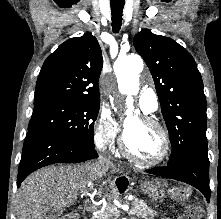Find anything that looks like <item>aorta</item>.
<instances>
[{"mask_svg": "<svg viewBox=\"0 0 221 219\" xmlns=\"http://www.w3.org/2000/svg\"><path fill=\"white\" fill-rule=\"evenodd\" d=\"M143 69V60L138 55H130L119 58L114 64V72L118 80V87L121 94L127 95V115L131 116L133 107L132 95L137 93V78ZM106 89L112 92L113 85L110 79L106 80Z\"/></svg>", "mask_w": 221, "mask_h": 219, "instance_id": "obj_1", "label": "aorta"}]
</instances>
